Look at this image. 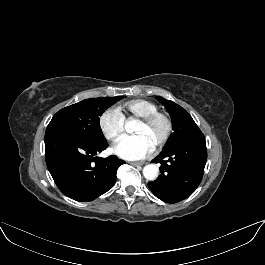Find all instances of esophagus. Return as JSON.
I'll return each mask as SVG.
<instances>
[{
  "mask_svg": "<svg viewBox=\"0 0 265 265\" xmlns=\"http://www.w3.org/2000/svg\"><path fill=\"white\" fill-rule=\"evenodd\" d=\"M130 164H131V165H133V166H142V165H144V164H145V162H144V161H139V162H130Z\"/></svg>",
  "mask_w": 265,
  "mask_h": 265,
  "instance_id": "esophagus-1",
  "label": "esophagus"
}]
</instances>
